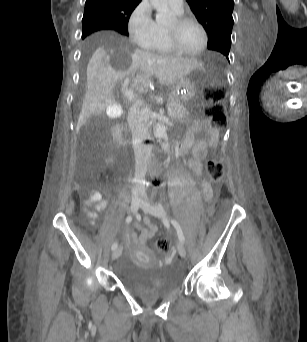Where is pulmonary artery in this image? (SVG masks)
Segmentation results:
<instances>
[{
  "label": "pulmonary artery",
  "mask_w": 307,
  "mask_h": 342,
  "mask_svg": "<svg viewBox=\"0 0 307 342\" xmlns=\"http://www.w3.org/2000/svg\"><path fill=\"white\" fill-rule=\"evenodd\" d=\"M167 5L177 14L183 12L184 1H165Z\"/></svg>",
  "instance_id": "pulmonary-artery-1"
}]
</instances>
